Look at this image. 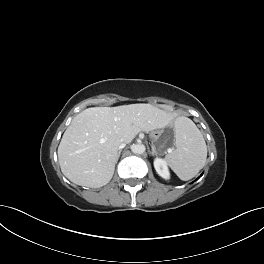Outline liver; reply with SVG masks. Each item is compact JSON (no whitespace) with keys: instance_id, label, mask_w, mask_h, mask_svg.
<instances>
[{"instance_id":"6515ba94","label":"liver","mask_w":264,"mask_h":264,"mask_svg":"<svg viewBox=\"0 0 264 264\" xmlns=\"http://www.w3.org/2000/svg\"><path fill=\"white\" fill-rule=\"evenodd\" d=\"M172 119L151 104L87 108L73 118L62 136L61 171L77 185L102 187L112 179L121 141L128 144L139 132L164 128Z\"/></svg>"}]
</instances>
